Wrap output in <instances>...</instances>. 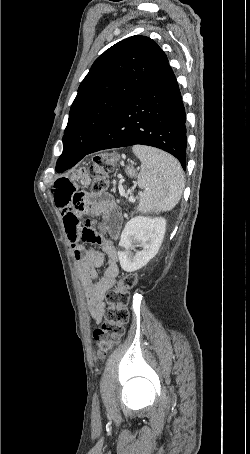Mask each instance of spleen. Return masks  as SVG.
<instances>
[{"label": "spleen", "instance_id": "obj_1", "mask_svg": "<svg viewBox=\"0 0 250 454\" xmlns=\"http://www.w3.org/2000/svg\"><path fill=\"white\" fill-rule=\"evenodd\" d=\"M132 150L141 161L138 186L143 193L137 210L160 213L173 209L181 198L185 183L180 163L152 147L135 145Z\"/></svg>", "mask_w": 250, "mask_h": 454}]
</instances>
